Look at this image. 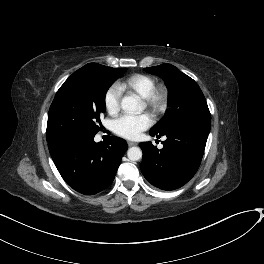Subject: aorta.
<instances>
[{
	"label": "aorta",
	"mask_w": 264,
	"mask_h": 264,
	"mask_svg": "<svg viewBox=\"0 0 264 264\" xmlns=\"http://www.w3.org/2000/svg\"><path fill=\"white\" fill-rule=\"evenodd\" d=\"M122 109L128 114H139L143 110V105L138 96H125L121 101ZM130 161H138L142 158V151L139 147H131L127 151Z\"/></svg>",
	"instance_id": "aorta-1"
}]
</instances>
